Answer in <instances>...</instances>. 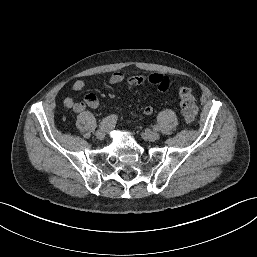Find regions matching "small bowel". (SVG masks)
Masks as SVG:
<instances>
[{"instance_id": "small-bowel-1", "label": "small bowel", "mask_w": 257, "mask_h": 257, "mask_svg": "<svg viewBox=\"0 0 257 257\" xmlns=\"http://www.w3.org/2000/svg\"><path fill=\"white\" fill-rule=\"evenodd\" d=\"M125 76L121 72H114L109 77V82L111 84H119L123 82ZM145 82L155 85L161 92H165L169 88V78L161 73H152L147 76L137 75L127 78L126 85L128 89H132L135 86L141 85ZM85 88V82L83 80H76L72 84V89L75 92H81ZM64 105L66 108L72 109L74 112H82L86 107L98 108L100 103L97 96L93 93H87L82 101L74 102L71 98L67 97L64 99ZM154 111V106L148 104L144 108V113L146 115L152 114Z\"/></svg>"}]
</instances>
